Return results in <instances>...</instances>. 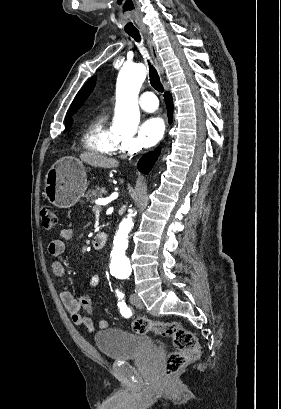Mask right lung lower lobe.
I'll use <instances>...</instances> for the list:
<instances>
[{
    "label": "right lung lower lobe",
    "mask_w": 281,
    "mask_h": 409,
    "mask_svg": "<svg viewBox=\"0 0 281 409\" xmlns=\"http://www.w3.org/2000/svg\"><path fill=\"white\" fill-rule=\"evenodd\" d=\"M164 99L166 102L169 122H171L173 114V101L171 94L169 92H165ZM158 155L159 151L156 150L155 152H151L143 156L138 163V169L143 173H147L151 169Z\"/></svg>",
    "instance_id": "1"
}]
</instances>
